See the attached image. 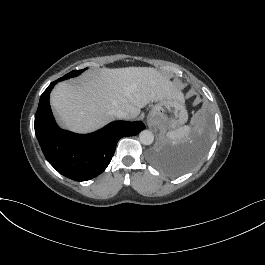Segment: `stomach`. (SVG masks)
I'll use <instances>...</instances> for the list:
<instances>
[{
    "mask_svg": "<svg viewBox=\"0 0 265 265\" xmlns=\"http://www.w3.org/2000/svg\"><path fill=\"white\" fill-rule=\"evenodd\" d=\"M148 122L162 131L182 126L188 119L184 100L163 99L156 102L148 114Z\"/></svg>",
    "mask_w": 265,
    "mask_h": 265,
    "instance_id": "obj_1",
    "label": "stomach"
}]
</instances>
